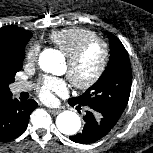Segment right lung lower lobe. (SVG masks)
Segmentation results:
<instances>
[{
    "label": "right lung lower lobe",
    "mask_w": 153,
    "mask_h": 153,
    "mask_svg": "<svg viewBox=\"0 0 153 153\" xmlns=\"http://www.w3.org/2000/svg\"><path fill=\"white\" fill-rule=\"evenodd\" d=\"M38 104L32 100L13 99L11 92L0 96V141L20 136L27 128L31 113Z\"/></svg>",
    "instance_id": "right-lung-lower-lobe-1"
}]
</instances>
